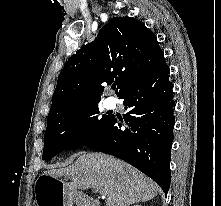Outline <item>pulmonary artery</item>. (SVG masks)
I'll list each match as a JSON object with an SVG mask.
<instances>
[{
	"mask_svg": "<svg viewBox=\"0 0 221 206\" xmlns=\"http://www.w3.org/2000/svg\"><path fill=\"white\" fill-rule=\"evenodd\" d=\"M105 104H106L107 108H112L115 103H114V100L112 98H108V99H106Z\"/></svg>",
	"mask_w": 221,
	"mask_h": 206,
	"instance_id": "pulmonary-artery-1",
	"label": "pulmonary artery"
}]
</instances>
